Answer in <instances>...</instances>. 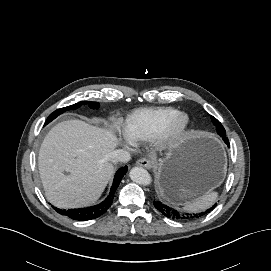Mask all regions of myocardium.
Instances as JSON below:
<instances>
[{"label": "myocardium", "mask_w": 271, "mask_h": 271, "mask_svg": "<svg viewBox=\"0 0 271 271\" xmlns=\"http://www.w3.org/2000/svg\"><path fill=\"white\" fill-rule=\"evenodd\" d=\"M190 126L189 115L185 112H177L157 135L158 146L167 148L177 145L188 135Z\"/></svg>", "instance_id": "f54148a6"}]
</instances>
